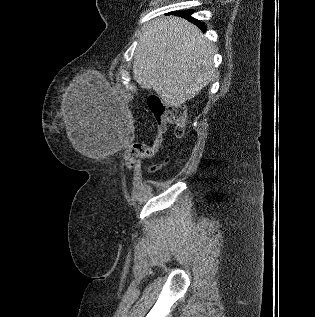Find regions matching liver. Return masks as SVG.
<instances>
[{
    "mask_svg": "<svg viewBox=\"0 0 315 317\" xmlns=\"http://www.w3.org/2000/svg\"><path fill=\"white\" fill-rule=\"evenodd\" d=\"M215 46L198 27L180 17H161L146 25L134 56L133 79L153 88L167 105L179 107L212 79ZM64 122L72 145L89 155L77 105L68 103Z\"/></svg>",
    "mask_w": 315,
    "mask_h": 317,
    "instance_id": "6515ba94",
    "label": "liver"
}]
</instances>
